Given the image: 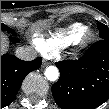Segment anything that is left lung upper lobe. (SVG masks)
<instances>
[{
    "mask_svg": "<svg viewBox=\"0 0 109 109\" xmlns=\"http://www.w3.org/2000/svg\"><path fill=\"white\" fill-rule=\"evenodd\" d=\"M97 26L101 39H109V28L99 21H97Z\"/></svg>",
    "mask_w": 109,
    "mask_h": 109,
    "instance_id": "left-lung-upper-lobe-1",
    "label": "left lung upper lobe"
}]
</instances>
